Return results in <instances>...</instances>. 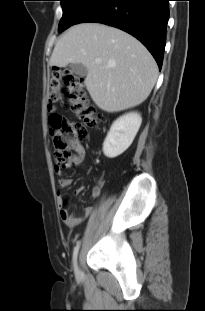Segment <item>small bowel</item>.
<instances>
[{"label": "small bowel", "instance_id": "obj_1", "mask_svg": "<svg viewBox=\"0 0 205 311\" xmlns=\"http://www.w3.org/2000/svg\"><path fill=\"white\" fill-rule=\"evenodd\" d=\"M85 158V149L83 146H79L75 149V154L71 159L61 167H56L55 171L59 174L64 169H72L81 166ZM71 179L68 177L61 176L59 179L58 199L60 205V217L64 224L68 227H76L86 220L92 213L93 208L91 206L84 207L79 213H71L68 210V200L63 196V191L71 185ZM83 191V187H80L77 192ZM100 194L98 187H95L92 191V196L97 197Z\"/></svg>", "mask_w": 205, "mask_h": 311}]
</instances>
